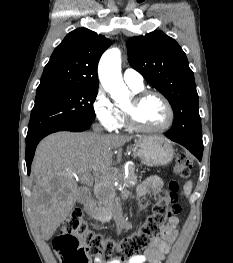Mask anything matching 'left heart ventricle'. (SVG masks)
I'll list each match as a JSON object with an SVG mask.
<instances>
[{
    "instance_id": "1",
    "label": "left heart ventricle",
    "mask_w": 233,
    "mask_h": 263,
    "mask_svg": "<svg viewBox=\"0 0 233 263\" xmlns=\"http://www.w3.org/2000/svg\"><path fill=\"white\" fill-rule=\"evenodd\" d=\"M135 119L142 126L159 127L167 121V110L158 97L148 96L137 107Z\"/></svg>"
}]
</instances>
